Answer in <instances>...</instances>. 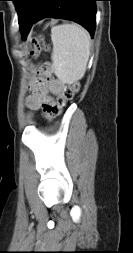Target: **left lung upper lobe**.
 <instances>
[{
  "label": "left lung upper lobe",
  "instance_id": "1",
  "mask_svg": "<svg viewBox=\"0 0 133 253\" xmlns=\"http://www.w3.org/2000/svg\"><path fill=\"white\" fill-rule=\"evenodd\" d=\"M11 1L14 2L15 6H16V10L18 12L20 10L21 5H22V3H23L24 0H11Z\"/></svg>",
  "mask_w": 133,
  "mask_h": 253
}]
</instances>
